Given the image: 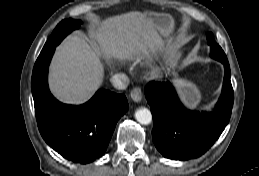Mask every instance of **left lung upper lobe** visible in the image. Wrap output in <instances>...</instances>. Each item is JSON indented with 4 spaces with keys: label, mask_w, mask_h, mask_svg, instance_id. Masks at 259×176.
Instances as JSON below:
<instances>
[{
    "label": "left lung upper lobe",
    "mask_w": 259,
    "mask_h": 176,
    "mask_svg": "<svg viewBox=\"0 0 259 176\" xmlns=\"http://www.w3.org/2000/svg\"><path fill=\"white\" fill-rule=\"evenodd\" d=\"M208 43L210 44L211 56L216 60L223 62L227 61V57L222 48L215 42L213 34L209 33L207 36Z\"/></svg>",
    "instance_id": "left-lung-upper-lobe-1"
}]
</instances>
